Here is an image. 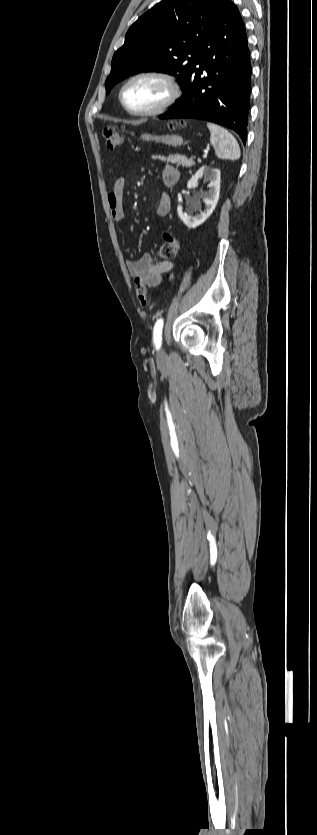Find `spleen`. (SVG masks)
<instances>
[{
  "label": "spleen",
  "mask_w": 317,
  "mask_h": 835,
  "mask_svg": "<svg viewBox=\"0 0 317 835\" xmlns=\"http://www.w3.org/2000/svg\"><path fill=\"white\" fill-rule=\"evenodd\" d=\"M207 127L210 130V143L214 146L216 156L221 159L238 160L240 148L234 136L217 124L209 122Z\"/></svg>",
  "instance_id": "spleen-1"
}]
</instances>
